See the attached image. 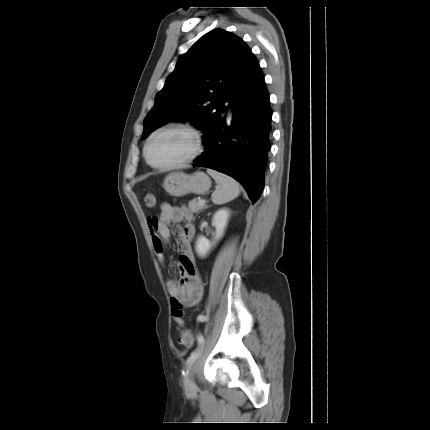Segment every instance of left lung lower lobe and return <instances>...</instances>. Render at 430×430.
<instances>
[{"mask_svg":"<svg viewBox=\"0 0 430 430\" xmlns=\"http://www.w3.org/2000/svg\"><path fill=\"white\" fill-rule=\"evenodd\" d=\"M249 81L247 91L230 102L232 120L221 116L204 136L206 151L194 160V166L212 168L235 178L255 203L264 186L272 110L261 68Z\"/></svg>","mask_w":430,"mask_h":430,"instance_id":"0a47b994","label":"left lung lower lobe"}]
</instances>
